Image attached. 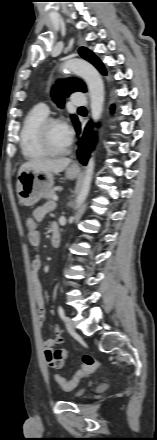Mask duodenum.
I'll return each mask as SVG.
<instances>
[{
	"label": "duodenum",
	"mask_w": 157,
	"mask_h": 440,
	"mask_svg": "<svg viewBox=\"0 0 157 440\" xmlns=\"http://www.w3.org/2000/svg\"><path fill=\"white\" fill-rule=\"evenodd\" d=\"M60 242H61L60 231H59L58 227H53L52 228V236H51V245L53 247H56L60 244Z\"/></svg>",
	"instance_id": "obj_1"
}]
</instances>
